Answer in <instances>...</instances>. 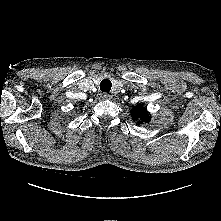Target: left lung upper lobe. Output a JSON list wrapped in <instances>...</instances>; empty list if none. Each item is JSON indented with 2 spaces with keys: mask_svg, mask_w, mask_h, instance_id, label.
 <instances>
[{
  "mask_svg": "<svg viewBox=\"0 0 221 221\" xmlns=\"http://www.w3.org/2000/svg\"><path fill=\"white\" fill-rule=\"evenodd\" d=\"M131 117L134 121H138V123H148L151 119L146 108H143L141 105H137L131 110Z\"/></svg>",
  "mask_w": 221,
  "mask_h": 221,
  "instance_id": "1",
  "label": "left lung upper lobe"
}]
</instances>
